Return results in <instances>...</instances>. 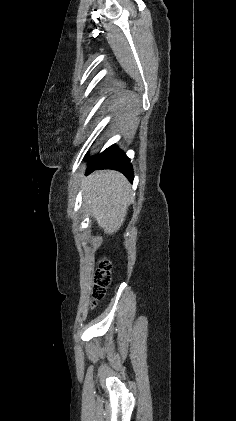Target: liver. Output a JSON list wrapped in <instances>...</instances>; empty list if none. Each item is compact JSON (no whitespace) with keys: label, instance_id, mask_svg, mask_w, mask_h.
Returning <instances> with one entry per match:
<instances>
[{"label":"liver","instance_id":"obj_1","mask_svg":"<svg viewBox=\"0 0 236 421\" xmlns=\"http://www.w3.org/2000/svg\"><path fill=\"white\" fill-rule=\"evenodd\" d=\"M85 208L104 229L106 235H114L125 221L130 198V184L116 170H95L82 180Z\"/></svg>","mask_w":236,"mask_h":421}]
</instances>
